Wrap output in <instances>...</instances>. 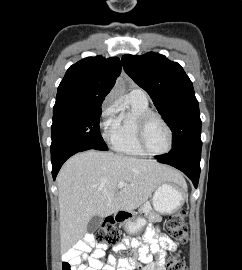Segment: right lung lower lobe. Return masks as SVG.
<instances>
[{
    "label": "right lung lower lobe",
    "mask_w": 242,
    "mask_h": 270,
    "mask_svg": "<svg viewBox=\"0 0 242 270\" xmlns=\"http://www.w3.org/2000/svg\"><path fill=\"white\" fill-rule=\"evenodd\" d=\"M92 148L89 147H80V148H73V149H68L65 151H62L60 153H58L57 155L51 157L52 160V175H53V179L55 180L57 173L59 172L61 166L63 165V163L72 155L78 153V152H82L85 150H89Z\"/></svg>",
    "instance_id": "right-lung-lower-lobe-1"
}]
</instances>
